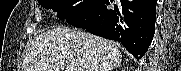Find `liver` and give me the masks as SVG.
Returning a JSON list of instances; mask_svg holds the SVG:
<instances>
[{
  "label": "liver",
  "instance_id": "6515ba94",
  "mask_svg": "<svg viewBox=\"0 0 181 71\" xmlns=\"http://www.w3.org/2000/svg\"><path fill=\"white\" fill-rule=\"evenodd\" d=\"M116 44L74 28L58 27L37 35L27 49L23 71H113L121 65Z\"/></svg>",
  "mask_w": 181,
  "mask_h": 71
}]
</instances>
